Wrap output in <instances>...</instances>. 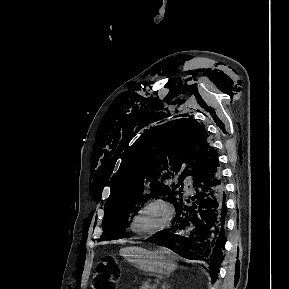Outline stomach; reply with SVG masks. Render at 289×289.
Listing matches in <instances>:
<instances>
[{
  "label": "stomach",
  "mask_w": 289,
  "mask_h": 289,
  "mask_svg": "<svg viewBox=\"0 0 289 289\" xmlns=\"http://www.w3.org/2000/svg\"><path fill=\"white\" fill-rule=\"evenodd\" d=\"M120 255L145 273L167 275L175 269L170 251L165 248L151 251L138 246H129L121 249Z\"/></svg>",
  "instance_id": "stomach-1"
}]
</instances>
